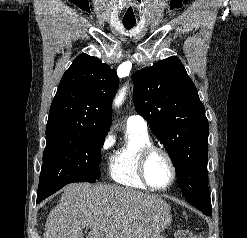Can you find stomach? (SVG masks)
I'll use <instances>...</instances> for the list:
<instances>
[{
	"label": "stomach",
	"mask_w": 247,
	"mask_h": 238,
	"mask_svg": "<svg viewBox=\"0 0 247 238\" xmlns=\"http://www.w3.org/2000/svg\"><path fill=\"white\" fill-rule=\"evenodd\" d=\"M158 238H164V237H162V236H159Z\"/></svg>",
	"instance_id": "obj_1"
}]
</instances>
